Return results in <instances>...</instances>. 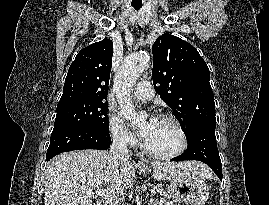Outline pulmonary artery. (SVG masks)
<instances>
[{"instance_id": "pulmonary-artery-1", "label": "pulmonary artery", "mask_w": 269, "mask_h": 205, "mask_svg": "<svg viewBox=\"0 0 269 205\" xmlns=\"http://www.w3.org/2000/svg\"><path fill=\"white\" fill-rule=\"evenodd\" d=\"M134 95L140 100L148 101L153 98L154 90L149 81L143 80L136 86Z\"/></svg>"}]
</instances>
